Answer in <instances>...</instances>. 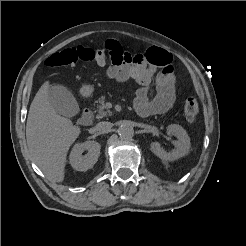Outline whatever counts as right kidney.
<instances>
[{"instance_id": "obj_1", "label": "right kidney", "mask_w": 246, "mask_h": 246, "mask_svg": "<svg viewBox=\"0 0 246 246\" xmlns=\"http://www.w3.org/2000/svg\"><path fill=\"white\" fill-rule=\"evenodd\" d=\"M101 146L96 141H86L76 144L69 156L70 164L77 171H87L92 168L98 160ZM87 150V155L82 153Z\"/></svg>"}]
</instances>
